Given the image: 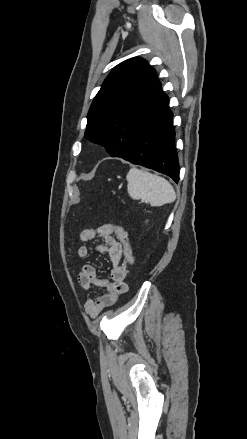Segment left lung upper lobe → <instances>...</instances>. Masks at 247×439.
Masks as SVG:
<instances>
[{
    "label": "left lung upper lobe",
    "instance_id": "5c2ea615",
    "mask_svg": "<svg viewBox=\"0 0 247 439\" xmlns=\"http://www.w3.org/2000/svg\"><path fill=\"white\" fill-rule=\"evenodd\" d=\"M168 100L155 70L141 58L117 65L105 79L87 115L85 137L122 158L139 129Z\"/></svg>",
    "mask_w": 247,
    "mask_h": 439
}]
</instances>
